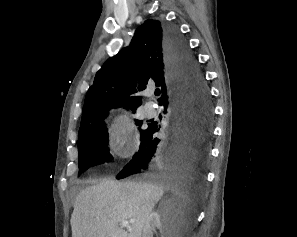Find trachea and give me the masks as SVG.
I'll use <instances>...</instances> for the list:
<instances>
[{"label":"trachea","instance_id":"3493384b","mask_svg":"<svg viewBox=\"0 0 297 237\" xmlns=\"http://www.w3.org/2000/svg\"><path fill=\"white\" fill-rule=\"evenodd\" d=\"M155 95H156V96H159V95H160V90H159V89H156V90H155Z\"/></svg>","mask_w":297,"mask_h":237}]
</instances>
